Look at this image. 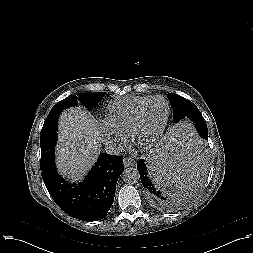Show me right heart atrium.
<instances>
[{"label": "right heart atrium", "instance_id": "obj_1", "mask_svg": "<svg viewBox=\"0 0 253 253\" xmlns=\"http://www.w3.org/2000/svg\"><path fill=\"white\" fill-rule=\"evenodd\" d=\"M100 130H101L102 135L104 137L105 143L108 146H111V147L119 146V145L123 144L125 141V136L113 131L112 128L107 123V121H102L100 123Z\"/></svg>", "mask_w": 253, "mask_h": 253}]
</instances>
